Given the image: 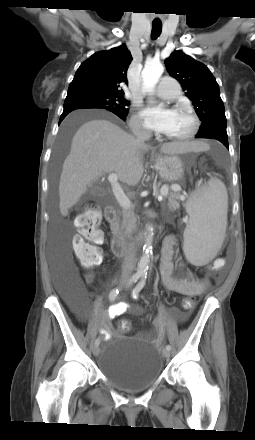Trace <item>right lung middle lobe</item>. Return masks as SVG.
I'll list each match as a JSON object with an SVG mask.
<instances>
[{
	"label": "right lung middle lobe",
	"mask_w": 255,
	"mask_h": 440,
	"mask_svg": "<svg viewBox=\"0 0 255 440\" xmlns=\"http://www.w3.org/2000/svg\"><path fill=\"white\" fill-rule=\"evenodd\" d=\"M130 103L124 99L123 95L108 94L100 92H90L75 96L66 97L64 108H101L114 114L126 117Z\"/></svg>",
	"instance_id": "obj_1"
}]
</instances>
